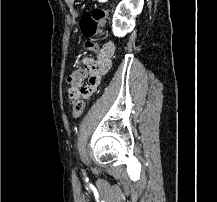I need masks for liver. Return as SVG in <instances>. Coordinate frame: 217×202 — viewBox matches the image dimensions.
<instances>
[{
    "instance_id": "1",
    "label": "liver",
    "mask_w": 217,
    "mask_h": 202,
    "mask_svg": "<svg viewBox=\"0 0 217 202\" xmlns=\"http://www.w3.org/2000/svg\"><path fill=\"white\" fill-rule=\"evenodd\" d=\"M66 4H68V6H71V4H73L74 0H65Z\"/></svg>"
}]
</instances>
